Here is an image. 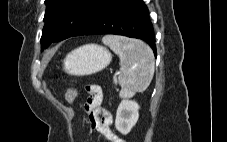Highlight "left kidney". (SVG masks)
<instances>
[{
  "mask_svg": "<svg viewBox=\"0 0 227 142\" xmlns=\"http://www.w3.org/2000/svg\"><path fill=\"white\" fill-rule=\"evenodd\" d=\"M139 105L133 100H122L118 106L115 119L116 129L126 135L138 121Z\"/></svg>",
  "mask_w": 227,
  "mask_h": 142,
  "instance_id": "5707ae66",
  "label": "left kidney"
}]
</instances>
